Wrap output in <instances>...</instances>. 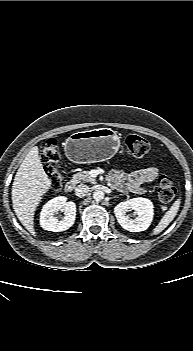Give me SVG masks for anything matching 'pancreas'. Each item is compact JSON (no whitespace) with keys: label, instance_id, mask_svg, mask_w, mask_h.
Returning a JSON list of instances; mask_svg holds the SVG:
<instances>
[{"label":"pancreas","instance_id":"pancreas-1","mask_svg":"<svg viewBox=\"0 0 193 351\" xmlns=\"http://www.w3.org/2000/svg\"><path fill=\"white\" fill-rule=\"evenodd\" d=\"M81 182L94 183L95 178L90 176L89 171H82V172H78V173L74 174L72 177L71 183L73 185H76V184L81 183Z\"/></svg>","mask_w":193,"mask_h":351}]
</instances>
